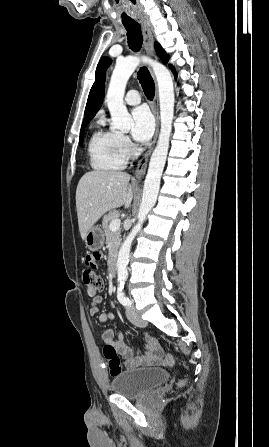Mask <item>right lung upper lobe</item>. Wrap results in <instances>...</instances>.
<instances>
[{
	"label": "right lung upper lobe",
	"mask_w": 269,
	"mask_h": 447,
	"mask_svg": "<svg viewBox=\"0 0 269 447\" xmlns=\"http://www.w3.org/2000/svg\"><path fill=\"white\" fill-rule=\"evenodd\" d=\"M104 82H105V76L103 77L101 87L99 88V90L96 94V97L94 99L91 110L89 111L87 117L84 119L82 126L88 124L90 122V120L95 116L97 111L100 109L102 102H103L104 93H105Z\"/></svg>",
	"instance_id": "cb5924a9"
}]
</instances>
